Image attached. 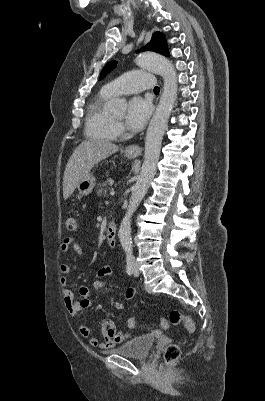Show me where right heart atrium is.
I'll return each mask as SVG.
<instances>
[{
	"mask_svg": "<svg viewBox=\"0 0 265 401\" xmlns=\"http://www.w3.org/2000/svg\"><path fill=\"white\" fill-rule=\"evenodd\" d=\"M116 129H117L118 134H123L124 129H123V126L121 124H117L116 125Z\"/></svg>",
	"mask_w": 265,
	"mask_h": 401,
	"instance_id": "d8ad5b80",
	"label": "right heart atrium"
}]
</instances>
